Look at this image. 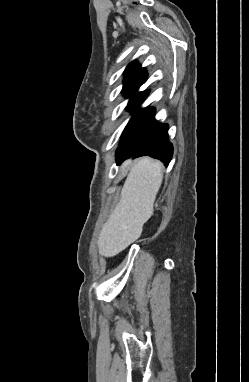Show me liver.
Instances as JSON below:
<instances>
[{
    "instance_id": "liver-1",
    "label": "liver",
    "mask_w": 249,
    "mask_h": 382,
    "mask_svg": "<svg viewBox=\"0 0 249 382\" xmlns=\"http://www.w3.org/2000/svg\"><path fill=\"white\" fill-rule=\"evenodd\" d=\"M131 165L125 161L121 170ZM163 179V164L149 157L139 159L130 169L121 190L120 202L102 227L98 238L101 256L113 257L136 241L153 206Z\"/></svg>"
}]
</instances>
